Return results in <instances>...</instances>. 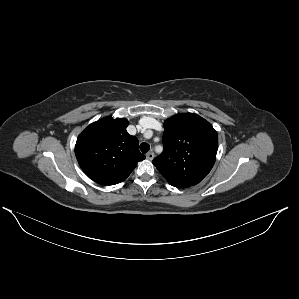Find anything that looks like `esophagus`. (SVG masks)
Wrapping results in <instances>:
<instances>
[{
	"instance_id": "34e87169",
	"label": "esophagus",
	"mask_w": 299,
	"mask_h": 299,
	"mask_svg": "<svg viewBox=\"0 0 299 299\" xmlns=\"http://www.w3.org/2000/svg\"><path fill=\"white\" fill-rule=\"evenodd\" d=\"M146 158H147L148 160H153V158H154V153H153V152H148V153L146 154Z\"/></svg>"
}]
</instances>
